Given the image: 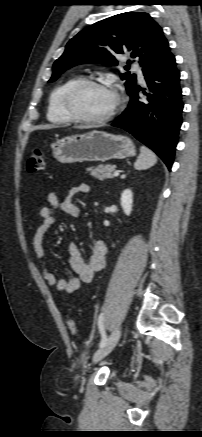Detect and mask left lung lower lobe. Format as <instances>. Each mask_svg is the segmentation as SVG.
<instances>
[{
	"label": "left lung lower lobe",
	"instance_id": "0a47b994",
	"mask_svg": "<svg viewBox=\"0 0 202 437\" xmlns=\"http://www.w3.org/2000/svg\"><path fill=\"white\" fill-rule=\"evenodd\" d=\"M143 74L148 87L147 92H143L145 98H139L140 87L135 86L129 94L128 107L112 126L133 134L151 148L168 169H171L182 124L184 104L180 72L169 44L143 70Z\"/></svg>",
	"mask_w": 202,
	"mask_h": 437
}]
</instances>
